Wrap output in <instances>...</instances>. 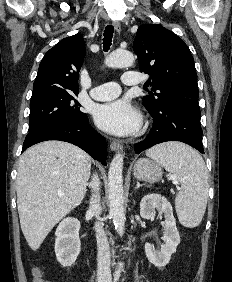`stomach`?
Segmentation results:
<instances>
[{
  "label": "stomach",
  "mask_w": 232,
  "mask_h": 282,
  "mask_svg": "<svg viewBox=\"0 0 232 282\" xmlns=\"http://www.w3.org/2000/svg\"><path fill=\"white\" fill-rule=\"evenodd\" d=\"M134 177L138 180L154 183L162 176V169L158 163L149 159L138 160L133 167Z\"/></svg>",
  "instance_id": "obj_1"
}]
</instances>
